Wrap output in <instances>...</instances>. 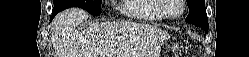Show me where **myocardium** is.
Masks as SVG:
<instances>
[{"instance_id":"obj_1","label":"myocardium","mask_w":249,"mask_h":57,"mask_svg":"<svg viewBox=\"0 0 249 57\" xmlns=\"http://www.w3.org/2000/svg\"><path fill=\"white\" fill-rule=\"evenodd\" d=\"M179 6H180V11L176 15H170L168 13V9L170 8L171 5V0H160L159 8L164 15L165 18L175 20L180 18L185 10V1L184 0H177Z\"/></svg>"}]
</instances>
